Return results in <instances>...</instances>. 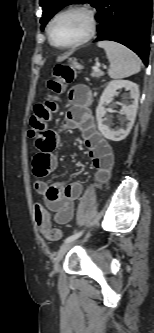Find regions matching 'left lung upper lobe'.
I'll list each match as a JSON object with an SVG mask.
<instances>
[{
  "instance_id": "left-lung-upper-lobe-1",
  "label": "left lung upper lobe",
  "mask_w": 154,
  "mask_h": 333,
  "mask_svg": "<svg viewBox=\"0 0 154 333\" xmlns=\"http://www.w3.org/2000/svg\"><path fill=\"white\" fill-rule=\"evenodd\" d=\"M102 0H40V6L43 9V14L40 20L41 29H44V26L47 22L56 14L60 9L64 6L72 4V3H90L93 7H97V5Z\"/></svg>"
}]
</instances>
